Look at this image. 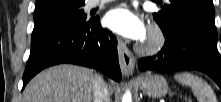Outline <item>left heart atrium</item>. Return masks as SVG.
I'll return each mask as SVG.
<instances>
[{"instance_id":"left-heart-atrium-1","label":"left heart atrium","mask_w":221,"mask_h":102,"mask_svg":"<svg viewBox=\"0 0 221 102\" xmlns=\"http://www.w3.org/2000/svg\"><path fill=\"white\" fill-rule=\"evenodd\" d=\"M105 25L116 33L132 38L142 39L145 36V26L138 14L127 6H119L110 10L105 18Z\"/></svg>"}]
</instances>
